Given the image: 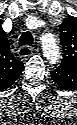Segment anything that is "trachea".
<instances>
[{
	"instance_id": "obj_1",
	"label": "trachea",
	"mask_w": 77,
	"mask_h": 125,
	"mask_svg": "<svg viewBox=\"0 0 77 125\" xmlns=\"http://www.w3.org/2000/svg\"><path fill=\"white\" fill-rule=\"evenodd\" d=\"M33 35L31 32L27 31V32H24L20 38H19V45L20 46H23V45H31L33 44Z\"/></svg>"
}]
</instances>
